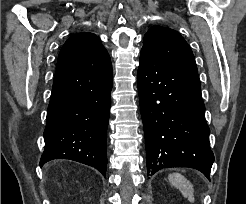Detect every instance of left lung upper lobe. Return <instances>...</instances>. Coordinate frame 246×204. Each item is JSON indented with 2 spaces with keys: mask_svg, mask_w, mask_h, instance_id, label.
I'll return each mask as SVG.
<instances>
[{
  "mask_svg": "<svg viewBox=\"0 0 246 204\" xmlns=\"http://www.w3.org/2000/svg\"><path fill=\"white\" fill-rule=\"evenodd\" d=\"M141 53L167 64L197 71L194 55L187 42L178 32L167 27H151L145 34Z\"/></svg>",
  "mask_w": 246,
  "mask_h": 204,
  "instance_id": "5c2ea615",
  "label": "left lung upper lobe"
}]
</instances>
